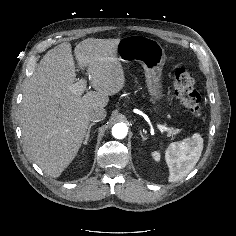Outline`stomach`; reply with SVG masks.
<instances>
[{
    "label": "stomach",
    "instance_id": "1",
    "mask_svg": "<svg viewBox=\"0 0 236 236\" xmlns=\"http://www.w3.org/2000/svg\"><path fill=\"white\" fill-rule=\"evenodd\" d=\"M117 56L121 62L136 61L142 65L150 101L153 104L151 112H157L158 103L164 97L161 81L162 69L166 61L164 48L152 38L131 35L119 39Z\"/></svg>",
    "mask_w": 236,
    "mask_h": 236
}]
</instances>
